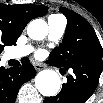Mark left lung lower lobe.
<instances>
[{"instance_id":"0a47b994","label":"left lung lower lobe","mask_w":103,"mask_h":103,"mask_svg":"<svg viewBox=\"0 0 103 103\" xmlns=\"http://www.w3.org/2000/svg\"><path fill=\"white\" fill-rule=\"evenodd\" d=\"M70 68L73 75L67 76V83L63 84L60 93L54 97H46L44 103H85L98 85L103 68V54L92 53Z\"/></svg>"}]
</instances>
